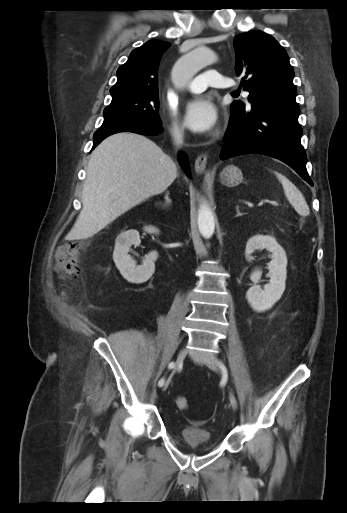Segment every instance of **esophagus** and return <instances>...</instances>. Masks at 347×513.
<instances>
[{
	"mask_svg": "<svg viewBox=\"0 0 347 513\" xmlns=\"http://www.w3.org/2000/svg\"><path fill=\"white\" fill-rule=\"evenodd\" d=\"M207 155L205 153L200 154L195 160V171L198 174L206 172Z\"/></svg>",
	"mask_w": 347,
	"mask_h": 513,
	"instance_id": "obj_1",
	"label": "esophagus"
}]
</instances>
